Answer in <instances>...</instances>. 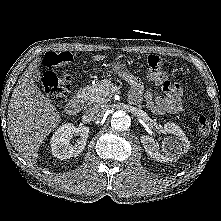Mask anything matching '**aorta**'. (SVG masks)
<instances>
[{
    "label": "aorta",
    "mask_w": 221,
    "mask_h": 221,
    "mask_svg": "<svg viewBox=\"0 0 221 221\" xmlns=\"http://www.w3.org/2000/svg\"><path fill=\"white\" fill-rule=\"evenodd\" d=\"M131 125V118L125 111H117L111 119V127L116 131H126Z\"/></svg>",
    "instance_id": "762f6f07"
}]
</instances>
